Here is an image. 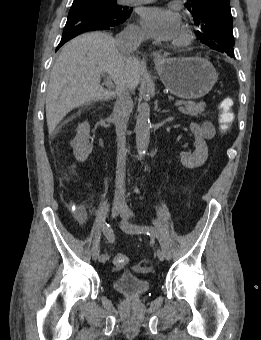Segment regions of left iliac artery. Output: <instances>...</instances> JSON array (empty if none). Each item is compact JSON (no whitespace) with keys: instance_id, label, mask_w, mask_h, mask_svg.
Here are the masks:
<instances>
[{"instance_id":"left-iliac-artery-1","label":"left iliac artery","mask_w":261,"mask_h":340,"mask_svg":"<svg viewBox=\"0 0 261 340\" xmlns=\"http://www.w3.org/2000/svg\"><path fill=\"white\" fill-rule=\"evenodd\" d=\"M127 228L130 231H136V232H140V233H146L149 236L155 237L158 242L159 245L165 255V257L167 259H171L172 254L170 251V248L166 242V240L164 239V237L157 231L155 230L153 227L150 226H144V225H137V224H133V223H127Z\"/></svg>"}]
</instances>
